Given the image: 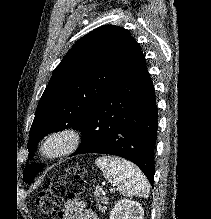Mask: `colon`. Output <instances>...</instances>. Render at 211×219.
I'll list each match as a JSON object with an SVG mask.
<instances>
[{
  "label": "colon",
  "mask_w": 211,
  "mask_h": 219,
  "mask_svg": "<svg viewBox=\"0 0 211 219\" xmlns=\"http://www.w3.org/2000/svg\"><path fill=\"white\" fill-rule=\"evenodd\" d=\"M71 173L74 178V190L68 195V199L76 201L86 185L85 172L81 168H75ZM66 194L65 184L54 182L35 197L34 205L43 218H48L60 209Z\"/></svg>",
  "instance_id": "colon-1"
}]
</instances>
